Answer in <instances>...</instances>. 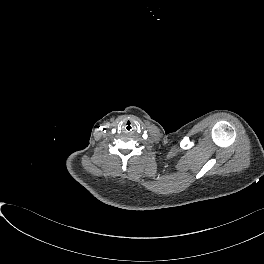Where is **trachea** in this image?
<instances>
[{
  "label": "trachea",
  "mask_w": 264,
  "mask_h": 264,
  "mask_svg": "<svg viewBox=\"0 0 264 264\" xmlns=\"http://www.w3.org/2000/svg\"><path fill=\"white\" fill-rule=\"evenodd\" d=\"M133 129H134V125H133L132 122L127 121V122H125V123L123 124V131H124L125 133H131V132L133 131Z\"/></svg>",
  "instance_id": "obj_1"
}]
</instances>
